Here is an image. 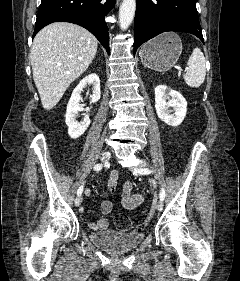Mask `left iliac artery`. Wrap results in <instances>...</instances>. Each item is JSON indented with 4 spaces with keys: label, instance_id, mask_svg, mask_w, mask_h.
Listing matches in <instances>:
<instances>
[{
    "label": "left iliac artery",
    "instance_id": "44dca946",
    "mask_svg": "<svg viewBox=\"0 0 240 281\" xmlns=\"http://www.w3.org/2000/svg\"><path fill=\"white\" fill-rule=\"evenodd\" d=\"M152 171L148 168H142V169H135L133 171V174H142V175H146V174H150ZM160 200L163 201L165 198V190L162 188L159 194Z\"/></svg>",
    "mask_w": 240,
    "mask_h": 281
}]
</instances>
